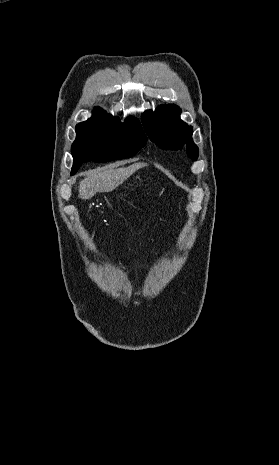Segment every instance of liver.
<instances>
[{
	"label": "liver",
	"mask_w": 279,
	"mask_h": 465,
	"mask_svg": "<svg viewBox=\"0 0 279 465\" xmlns=\"http://www.w3.org/2000/svg\"><path fill=\"white\" fill-rule=\"evenodd\" d=\"M145 163H135L128 167H104L91 170L79 183V197L91 199L97 192H111L127 180L134 172L145 167Z\"/></svg>",
	"instance_id": "6515ba94"
}]
</instances>
